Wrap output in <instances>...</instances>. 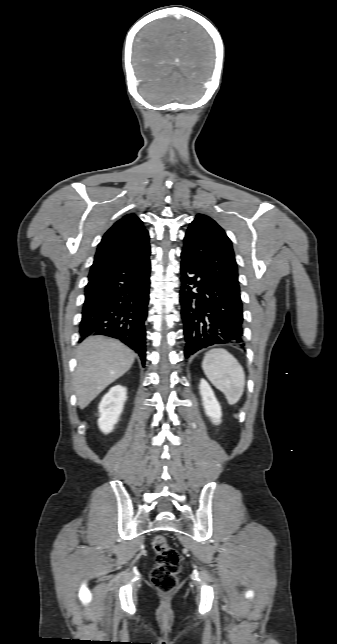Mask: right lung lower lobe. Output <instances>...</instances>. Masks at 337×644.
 I'll list each match as a JSON object with an SVG mask.
<instances>
[{"instance_id": "right-lung-lower-lobe-1", "label": "right lung lower lobe", "mask_w": 337, "mask_h": 644, "mask_svg": "<svg viewBox=\"0 0 337 644\" xmlns=\"http://www.w3.org/2000/svg\"><path fill=\"white\" fill-rule=\"evenodd\" d=\"M149 256L113 268L89 280L80 322L82 341L89 335L119 339L145 363V329L149 301Z\"/></svg>"}]
</instances>
